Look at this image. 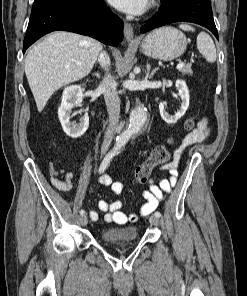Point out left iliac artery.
I'll return each mask as SVG.
<instances>
[{
    "mask_svg": "<svg viewBox=\"0 0 247 296\" xmlns=\"http://www.w3.org/2000/svg\"><path fill=\"white\" fill-rule=\"evenodd\" d=\"M154 215H155V216H157V217H161V213H160V212H158V211H157V212H155V213H154Z\"/></svg>",
    "mask_w": 247,
    "mask_h": 296,
    "instance_id": "44dca946",
    "label": "left iliac artery"
}]
</instances>
